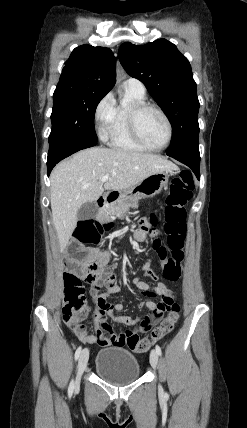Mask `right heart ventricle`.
Returning <instances> with one entry per match:
<instances>
[{
	"label": "right heart ventricle",
	"instance_id": "right-heart-ventricle-1",
	"mask_svg": "<svg viewBox=\"0 0 247 428\" xmlns=\"http://www.w3.org/2000/svg\"><path fill=\"white\" fill-rule=\"evenodd\" d=\"M126 93L131 103L145 101V94L139 93L135 90L126 88ZM129 106L120 104L116 106L115 119L109 136L111 146L126 150V151H144L146 150L138 143H136L129 132L127 123V111Z\"/></svg>",
	"mask_w": 247,
	"mask_h": 428
}]
</instances>
